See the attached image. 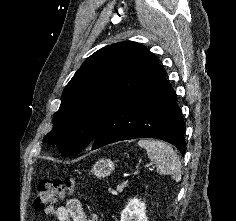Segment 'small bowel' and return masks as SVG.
I'll return each instance as SVG.
<instances>
[{
	"label": "small bowel",
	"instance_id": "small-bowel-1",
	"mask_svg": "<svg viewBox=\"0 0 236 221\" xmlns=\"http://www.w3.org/2000/svg\"><path fill=\"white\" fill-rule=\"evenodd\" d=\"M45 213L58 221H98L96 213L89 217L86 215L81 200L77 198H71L58 207L51 205L45 209Z\"/></svg>",
	"mask_w": 236,
	"mask_h": 221
}]
</instances>
